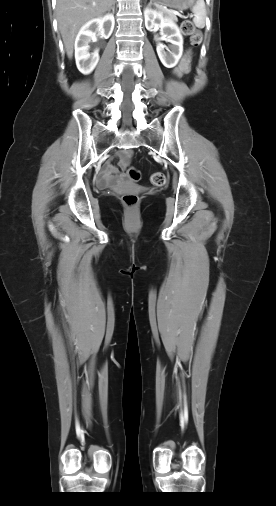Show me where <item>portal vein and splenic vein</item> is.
I'll return each mask as SVG.
<instances>
[{
    "label": "portal vein and splenic vein",
    "instance_id": "portal-vein-and-splenic-vein-1",
    "mask_svg": "<svg viewBox=\"0 0 276 506\" xmlns=\"http://www.w3.org/2000/svg\"><path fill=\"white\" fill-rule=\"evenodd\" d=\"M167 13H172V14H175V15H179V13L177 11H170V10H166Z\"/></svg>",
    "mask_w": 276,
    "mask_h": 506
}]
</instances>
